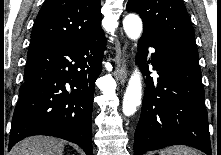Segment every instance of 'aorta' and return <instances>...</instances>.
Returning a JSON list of instances; mask_svg holds the SVG:
<instances>
[{"instance_id": "aorta-1", "label": "aorta", "mask_w": 221, "mask_h": 155, "mask_svg": "<svg viewBox=\"0 0 221 155\" xmlns=\"http://www.w3.org/2000/svg\"><path fill=\"white\" fill-rule=\"evenodd\" d=\"M123 28L130 39L137 40L142 33V21L138 15L128 14L123 20ZM141 96V73L135 69L124 93L122 111L125 116H131L136 112L137 106L141 103Z\"/></svg>"}]
</instances>
